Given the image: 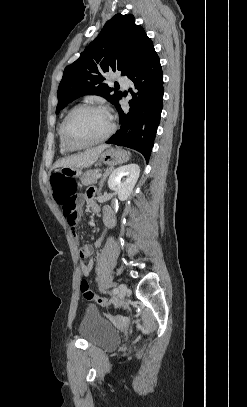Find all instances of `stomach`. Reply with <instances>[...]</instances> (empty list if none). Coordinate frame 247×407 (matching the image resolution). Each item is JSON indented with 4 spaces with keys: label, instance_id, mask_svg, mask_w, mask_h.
Instances as JSON below:
<instances>
[{
    "label": "stomach",
    "instance_id": "0dacf381",
    "mask_svg": "<svg viewBox=\"0 0 247 407\" xmlns=\"http://www.w3.org/2000/svg\"><path fill=\"white\" fill-rule=\"evenodd\" d=\"M129 159V153L122 149L107 148L100 154V161L106 165L113 166L126 162ZM61 175L66 178L80 176L82 169L78 166H61Z\"/></svg>",
    "mask_w": 247,
    "mask_h": 407
}]
</instances>
